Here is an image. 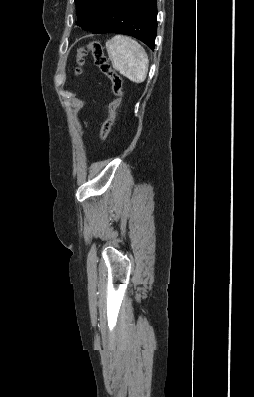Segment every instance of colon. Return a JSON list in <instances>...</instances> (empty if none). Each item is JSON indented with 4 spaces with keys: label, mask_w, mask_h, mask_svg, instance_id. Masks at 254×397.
Wrapping results in <instances>:
<instances>
[{
    "label": "colon",
    "mask_w": 254,
    "mask_h": 397,
    "mask_svg": "<svg viewBox=\"0 0 254 397\" xmlns=\"http://www.w3.org/2000/svg\"><path fill=\"white\" fill-rule=\"evenodd\" d=\"M88 53L92 54L96 66L111 81L112 91L115 96L109 105L108 117L100 129V141L101 143H105L110 134L112 126L115 123L118 108L122 101V79L110 66L109 61L104 54L103 46L99 41H91L77 50V67L75 69L76 75H81L83 73L85 57Z\"/></svg>",
    "instance_id": "1"
}]
</instances>
